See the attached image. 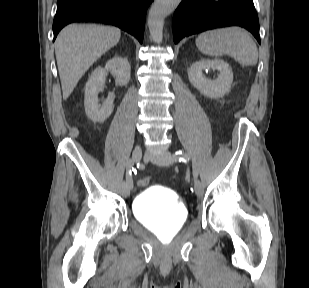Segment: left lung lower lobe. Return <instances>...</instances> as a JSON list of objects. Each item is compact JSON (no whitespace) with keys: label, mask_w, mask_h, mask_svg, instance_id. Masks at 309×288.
<instances>
[{"label":"left lung lower lobe","mask_w":309,"mask_h":288,"mask_svg":"<svg viewBox=\"0 0 309 288\" xmlns=\"http://www.w3.org/2000/svg\"><path fill=\"white\" fill-rule=\"evenodd\" d=\"M232 25L246 28L260 43L253 0H182L173 17L174 42L205 30Z\"/></svg>","instance_id":"0a47b994"}]
</instances>
